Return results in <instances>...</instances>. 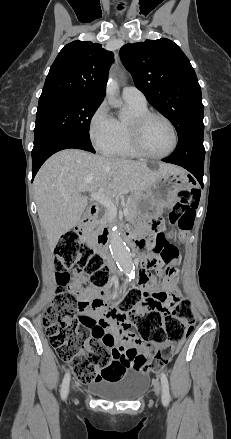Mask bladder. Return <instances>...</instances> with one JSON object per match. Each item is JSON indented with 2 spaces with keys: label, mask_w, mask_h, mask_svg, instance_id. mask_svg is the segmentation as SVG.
<instances>
[{
  "label": "bladder",
  "mask_w": 231,
  "mask_h": 439,
  "mask_svg": "<svg viewBox=\"0 0 231 439\" xmlns=\"http://www.w3.org/2000/svg\"><path fill=\"white\" fill-rule=\"evenodd\" d=\"M149 384L148 375L138 369H128L121 380L92 386L98 396L111 401H126L139 397Z\"/></svg>",
  "instance_id": "bladder-1"
}]
</instances>
